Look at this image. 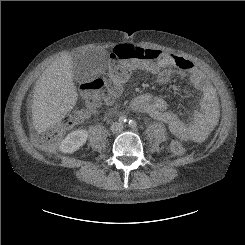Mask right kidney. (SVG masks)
I'll return each mask as SVG.
<instances>
[{"mask_svg":"<svg viewBox=\"0 0 245 245\" xmlns=\"http://www.w3.org/2000/svg\"><path fill=\"white\" fill-rule=\"evenodd\" d=\"M88 132L78 129L69 133L59 145V150L63 153H73L86 143Z\"/></svg>","mask_w":245,"mask_h":245,"instance_id":"right-kidney-1","label":"right kidney"}]
</instances>
